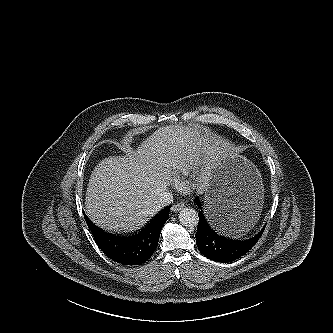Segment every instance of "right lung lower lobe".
Returning <instances> with one entry per match:
<instances>
[{"mask_svg":"<svg viewBox=\"0 0 333 333\" xmlns=\"http://www.w3.org/2000/svg\"><path fill=\"white\" fill-rule=\"evenodd\" d=\"M170 206L165 207L141 231L134 235L119 236L105 232L84 214L95 242L107 257L122 265H139L154 253L163 224L169 217Z\"/></svg>","mask_w":333,"mask_h":333,"instance_id":"98d812e1","label":"right lung lower lobe"}]
</instances>
